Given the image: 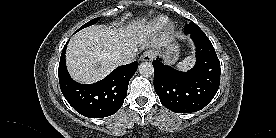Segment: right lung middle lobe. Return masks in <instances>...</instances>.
Here are the masks:
<instances>
[{
  "instance_id": "obj_1",
  "label": "right lung middle lobe",
  "mask_w": 276,
  "mask_h": 138,
  "mask_svg": "<svg viewBox=\"0 0 276 138\" xmlns=\"http://www.w3.org/2000/svg\"><path fill=\"white\" fill-rule=\"evenodd\" d=\"M98 20H99V18H95V19H93V20L87 22L86 24H84V25H83L82 27H80L78 30H81L82 28H85V27H87V26H90V25L96 23Z\"/></svg>"
}]
</instances>
